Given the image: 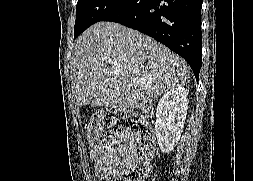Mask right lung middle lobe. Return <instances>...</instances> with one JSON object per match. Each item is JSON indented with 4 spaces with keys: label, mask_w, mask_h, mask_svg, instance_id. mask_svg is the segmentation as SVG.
<instances>
[{
    "label": "right lung middle lobe",
    "mask_w": 253,
    "mask_h": 181,
    "mask_svg": "<svg viewBox=\"0 0 253 181\" xmlns=\"http://www.w3.org/2000/svg\"><path fill=\"white\" fill-rule=\"evenodd\" d=\"M127 0H78L74 38L92 24L118 10Z\"/></svg>",
    "instance_id": "dd1d6c3e"
}]
</instances>
